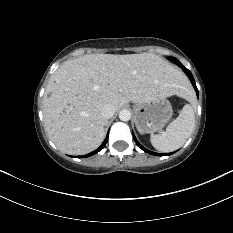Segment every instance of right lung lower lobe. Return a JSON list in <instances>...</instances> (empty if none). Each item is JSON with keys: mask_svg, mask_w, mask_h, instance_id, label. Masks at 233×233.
Segmentation results:
<instances>
[{"mask_svg": "<svg viewBox=\"0 0 233 233\" xmlns=\"http://www.w3.org/2000/svg\"><path fill=\"white\" fill-rule=\"evenodd\" d=\"M107 140H108V134H107V137L105 138V140L103 141V143L101 144V146L98 149H96L95 151H93V152H91V153H89L87 155L80 156V157H89L91 155H94V154L98 153L99 151H101L104 148V146L107 143Z\"/></svg>", "mask_w": 233, "mask_h": 233, "instance_id": "obj_1", "label": "right lung lower lobe"}]
</instances>
